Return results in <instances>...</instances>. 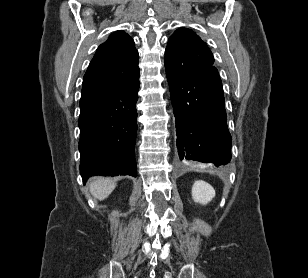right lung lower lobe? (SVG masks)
Wrapping results in <instances>:
<instances>
[{
    "label": "right lung lower lobe",
    "instance_id": "98d812e1",
    "mask_svg": "<svg viewBox=\"0 0 308 278\" xmlns=\"http://www.w3.org/2000/svg\"><path fill=\"white\" fill-rule=\"evenodd\" d=\"M139 75L130 85L111 92L81 96L80 174L136 177L135 136Z\"/></svg>",
    "mask_w": 308,
    "mask_h": 278
}]
</instances>
